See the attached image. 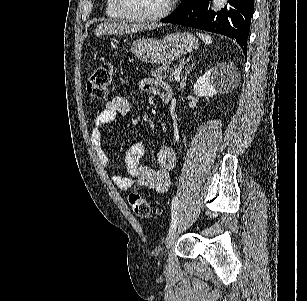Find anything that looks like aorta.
Segmentation results:
<instances>
[{
	"instance_id": "obj_1",
	"label": "aorta",
	"mask_w": 307,
	"mask_h": 301,
	"mask_svg": "<svg viewBox=\"0 0 307 301\" xmlns=\"http://www.w3.org/2000/svg\"><path fill=\"white\" fill-rule=\"evenodd\" d=\"M227 0H213L212 10H220V8H224Z\"/></svg>"
}]
</instances>
